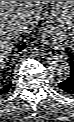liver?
<instances>
[{
	"label": "liver",
	"instance_id": "liver-1",
	"mask_svg": "<svg viewBox=\"0 0 74 122\" xmlns=\"http://www.w3.org/2000/svg\"><path fill=\"white\" fill-rule=\"evenodd\" d=\"M54 5L55 1H0V63L1 68L9 59V54L20 34L34 30L43 19V6ZM26 28L20 31V26Z\"/></svg>",
	"mask_w": 74,
	"mask_h": 122
}]
</instances>
